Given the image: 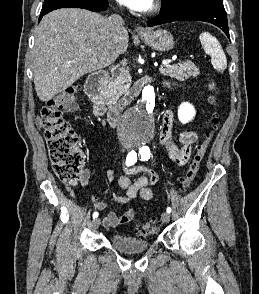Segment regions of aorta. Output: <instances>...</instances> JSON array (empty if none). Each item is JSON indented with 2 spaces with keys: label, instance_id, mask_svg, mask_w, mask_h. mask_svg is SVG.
<instances>
[{
  "label": "aorta",
  "instance_id": "762f6f07",
  "mask_svg": "<svg viewBox=\"0 0 259 294\" xmlns=\"http://www.w3.org/2000/svg\"><path fill=\"white\" fill-rule=\"evenodd\" d=\"M154 101V88L148 85L142 90L138 105L128 110L123 116L120 129L132 141L147 143L153 138L155 123L153 114Z\"/></svg>",
  "mask_w": 259,
  "mask_h": 294
}]
</instances>
